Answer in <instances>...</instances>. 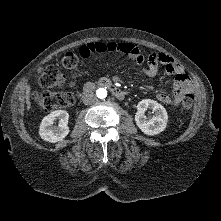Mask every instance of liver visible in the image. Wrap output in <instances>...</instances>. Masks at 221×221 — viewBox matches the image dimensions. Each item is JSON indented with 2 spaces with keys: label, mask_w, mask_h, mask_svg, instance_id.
<instances>
[{
  "label": "liver",
  "mask_w": 221,
  "mask_h": 221,
  "mask_svg": "<svg viewBox=\"0 0 221 221\" xmlns=\"http://www.w3.org/2000/svg\"><path fill=\"white\" fill-rule=\"evenodd\" d=\"M30 86H26V104H27V110L31 108V102H30Z\"/></svg>",
  "instance_id": "liver-1"
}]
</instances>
